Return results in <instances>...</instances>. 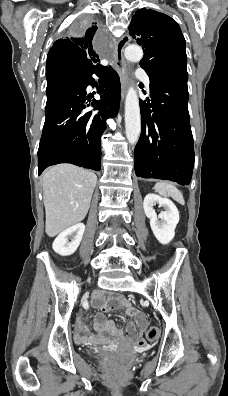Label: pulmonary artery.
Masks as SVG:
<instances>
[{"label":"pulmonary artery","mask_w":228,"mask_h":396,"mask_svg":"<svg viewBox=\"0 0 228 396\" xmlns=\"http://www.w3.org/2000/svg\"><path fill=\"white\" fill-rule=\"evenodd\" d=\"M136 76L144 83L147 90H149L151 86V81L147 73L143 69H138L136 72Z\"/></svg>","instance_id":"e3ab8cb5"}]
</instances>
